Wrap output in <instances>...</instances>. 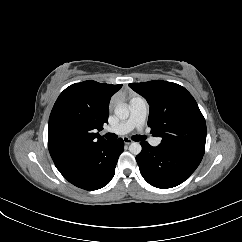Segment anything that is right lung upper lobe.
Wrapping results in <instances>:
<instances>
[{
	"instance_id": "1",
	"label": "right lung upper lobe",
	"mask_w": 242,
	"mask_h": 242,
	"mask_svg": "<svg viewBox=\"0 0 242 242\" xmlns=\"http://www.w3.org/2000/svg\"><path fill=\"white\" fill-rule=\"evenodd\" d=\"M121 87L88 80L70 85L59 95L48 129V149L56 166L106 141L96 130L108 123L110 98Z\"/></svg>"
}]
</instances>
